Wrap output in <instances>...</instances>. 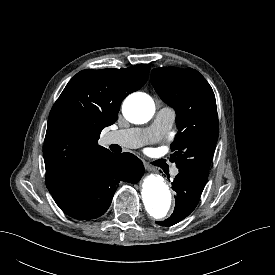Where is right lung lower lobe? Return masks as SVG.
I'll list each match as a JSON object with an SVG mask.
<instances>
[{
    "label": "right lung lower lobe",
    "instance_id": "right-lung-lower-lobe-1",
    "mask_svg": "<svg viewBox=\"0 0 275 275\" xmlns=\"http://www.w3.org/2000/svg\"><path fill=\"white\" fill-rule=\"evenodd\" d=\"M143 173L142 161L133 154L108 151L79 167L51 194L68 216L94 219L108 210L120 181L135 184Z\"/></svg>",
    "mask_w": 275,
    "mask_h": 275
}]
</instances>
